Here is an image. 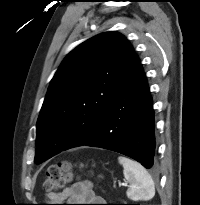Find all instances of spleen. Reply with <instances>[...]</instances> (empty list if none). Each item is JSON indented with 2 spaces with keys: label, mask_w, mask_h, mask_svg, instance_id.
Instances as JSON below:
<instances>
[{
  "label": "spleen",
  "mask_w": 200,
  "mask_h": 205,
  "mask_svg": "<svg viewBox=\"0 0 200 205\" xmlns=\"http://www.w3.org/2000/svg\"><path fill=\"white\" fill-rule=\"evenodd\" d=\"M118 162L123 166L124 177L130 184L126 192L128 198L134 201L152 199L155 186L148 171L140 163L124 156H119Z\"/></svg>",
  "instance_id": "obj_1"
}]
</instances>
